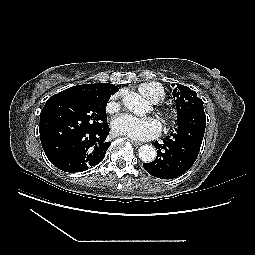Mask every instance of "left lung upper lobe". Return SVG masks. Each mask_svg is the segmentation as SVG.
<instances>
[{
    "instance_id": "obj_1",
    "label": "left lung upper lobe",
    "mask_w": 255,
    "mask_h": 255,
    "mask_svg": "<svg viewBox=\"0 0 255 255\" xmlns=\"http://www.w3.org/2000/svg\"><path fill=\"white\" fill-rule=\"evenodd\" d=\"M172 95L177 108V127L189 123H196V120L200 118L202 114H205L203 101L198 98L196 92L190 88L178 84L174 88Z\"/></svg>"
}]
</instances>
